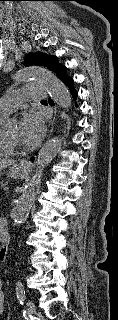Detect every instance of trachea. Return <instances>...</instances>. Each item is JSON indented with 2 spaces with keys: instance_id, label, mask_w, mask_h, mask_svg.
<instances>
[{
  "instance_id": "3493384b",
  "label": "trachea",
  "mask_w": 118,
  "mask_h": 320,
  "mask_svg": "<svg viewBox=\"0 0 118 320\" xmlns=\"http://www.w3.org/2000/svg\"><path fill=\"white\" fill-rule=\"evenodd\" d=\"M42 102H47V100H43Z\"/></svg>"
}]
</instances>
